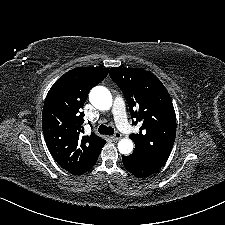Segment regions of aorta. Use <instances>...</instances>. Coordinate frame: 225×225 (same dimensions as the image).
I'll return each mask as SVG.
<instances>
[{
    "mask_svg": "<svg viewBox=\"0 0 225 225\" xmlns=\"http://www.w3.org/2000/svg\"><path fill=\"white\" fill-rule=\"evenodd\" d=\"M90 103L99 110H108L112 106V95L104 86H96L89 93ZM134 144L132 140L125 138L118 142V150L123 155L132 153Z\"/></svg>",
    "mask_w": 225,
    "mask_h": 225,
    "instance_id": "762f6f07",
    "label": "aorta"
}]
</instances>
